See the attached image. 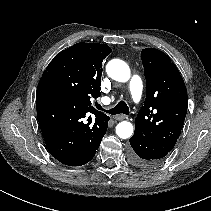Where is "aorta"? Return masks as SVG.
Returning <instances> with one entry per match:
<instances>
[{
  "instance_id": "1",
  "label": "aorta",
  "mask_w": 211,
  "mask_h": 211,
  "mask_svg": "<svg viewBox=\"0 0 211 211\" xmlns=\"http://www.w3.org/2000/svg\"><path fill=\"white\" fill-rule=\"evenodd\" d=\"M106 72L110 78L118 82H126L130 78L129 66L122 60L113 59L108 62ZM134 127L128 121H122L116 126V134L121 139H127L132 136Z\"/></svg>"
}]
</instances>
